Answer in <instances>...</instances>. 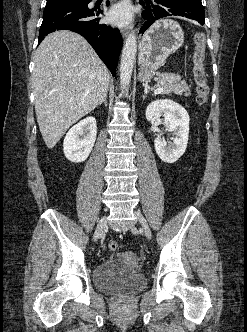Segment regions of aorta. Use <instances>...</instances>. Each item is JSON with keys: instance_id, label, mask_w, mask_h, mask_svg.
<instances>
[{"instance_id": "aorta-1", "label": "aorta", "mask_w": 247, "mask_h": 332, "mask_svg": "<svg viewBox=\"0 0 247 332\" xmlns=\"http://www.w3.org/2000/svg\"><path fill=\"white\" fill-rule=\"evenodd\" d=\"M137 52V38L134 32H131L124 44L121 62H120V83L125 93L130 85L132 71L135 63Z\"/></svg>"}]
</instances>
